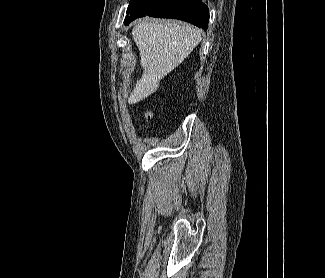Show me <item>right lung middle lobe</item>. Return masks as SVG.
I'll return each mask as SVG.
<instances>
[{
	"label": "right lung middle lobe",
	"instance_id": "1",
	"mask_svg": "<svg viewBox=\"0 0 325 278\" xmlns=\"http://www.w3.org/2000/svg\"><path fill=\"white\" fill-rule=\"evenodd\" d=\"M135 1H136V0H131V1H130L129 7H128V9H127V14H128V16H126V17L131 16V14L133 13V10H134V3H135Z\"/></svg>",
	"mask_w": 325,
	"mask_h": 278
}]
</instances>
